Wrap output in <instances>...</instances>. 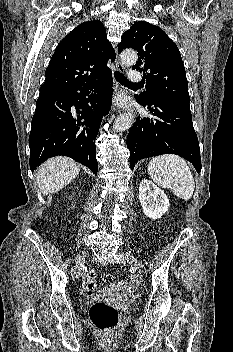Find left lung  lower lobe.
Listing matches in <instances>:
<instances>
[{"label":"left lung lower lobe","instance_id":"obj_1","mask_svg":"<svg viewBox=\"0 0 233 352\" xmlns=\"http://www.w3.org/2000/svg\"><path fill=\"white\" fill-rule=\"evenodd\" d=\"M151 117H138L127 136L130 167L143 158L176 154L190 161L201 171L199 142L192 124L191 112L170 103L136 98Z\"/></svg>","mask_w":233,"mask_h":352}]
</instances>
